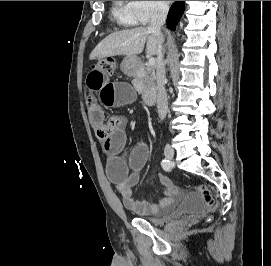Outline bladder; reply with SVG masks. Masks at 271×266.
I'll return each mask as SVG.
<instances>
[{
    "label": "bladder",
    "mask_w": 271,
    "mask_h": 266,
    "mask_svg": "<svg viewBox=\"0 0 271 266\" xmlns=\"http://www.w3.org/2000/svg\"><path fill=\"white\" fill-rule=\"evenodd\" d=\"M204 212V205L201 197L197 193H187L184 195L181 205L175 209L172 213L158 217V216H147V215H137V218L146 220L152 224H163L174 218H180L191 213H201Z\"/></svg>",
    "instance_id": "obj_1"
}]
</instances>
